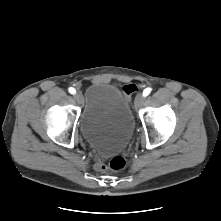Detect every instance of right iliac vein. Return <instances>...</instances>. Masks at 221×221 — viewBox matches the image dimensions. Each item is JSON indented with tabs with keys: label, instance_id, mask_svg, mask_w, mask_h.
I'll use <instances>...</instances> for the list:
<instances>
[{
	"label": "right iliac vein",
	"instance_id": "63e3f726",
	"mask_svg": "<svg viewBox=\"0 0 221 221\" xmlns=\"http://www.w3.org/2000/svg\"><path fill=\"white\" fill-rule=\"evenodd\" d=\"M74 98L78 103H82L83 101V95L79 91L74 94Z\"/></svg>",
	"mask_w": 221,
	"mask_h": 221
}]
</instances>
